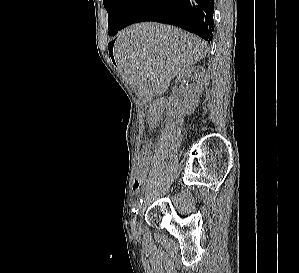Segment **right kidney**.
Returning a JSON list of instances; mask_svg holds the SVG:
<instances>
[{"instance_id":"ca27d5eb","label":"right kidney","mask_w":299,"mask_h":273,"mask_svg":"<svg viewBox=\"0 0 299 273\" xmlns=\"http://www.w3.org/2000/svg\"><path fill=\"white\" fill-rule=\"evenodd\" d=\"M204 75V69L200 66L189 67L185 69L177 76L178 83H186L187 80L192 77L194 79H199ZM203 90V85L200 80L196 81V83L188 84L186 83V87L183 91V98L178 99L176 97H172L169 101V106H180L185 110L186 114H190L195 106L198 103L200 95Z\"/></svg>"}]
</instances>
